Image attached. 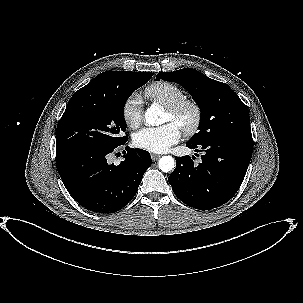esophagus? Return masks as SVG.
Returning <instances> with one entry per match:
<instances>
[{"label": "esophagus", "instance_id": "1", "mask_svg": "<svg viewBox=\"0 0 303 303\" xmlns=\"http://www.w3.org/2000/svg\"><path fill=\"white\" fill-rule=\"evenodd\" d=\"M151 157H152L153 161H156V160H158L161 157V155H159V154H152Z\"/></svg>", "mask_w": 303, "mask_h": 303}]
</instances>
